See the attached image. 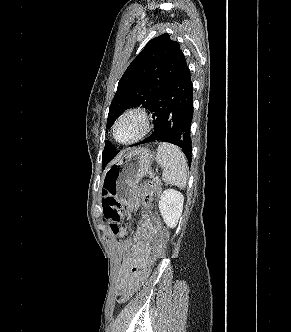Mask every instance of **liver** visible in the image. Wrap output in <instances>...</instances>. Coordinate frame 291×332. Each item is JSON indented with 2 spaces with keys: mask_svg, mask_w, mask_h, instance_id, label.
Returning <instances> with one entry per match:
<instances>
[{
  "mask_svg": "<svg viewBox=\"0 0 291 332\" xmlns=\"http://www.w3.org/2000/svg\"><path fill=\"white\" fill-rule=\"evenodd\" d=\"M122 155H123V153H121V154H119L117 157H115V158L112 160L111 164L116 163Z\"/></svg>",
  "mask_w": 291,
  "mask_h": 332,
  "instance_id": "6515ba94",
  "label": "liver"
}]
</instances>
